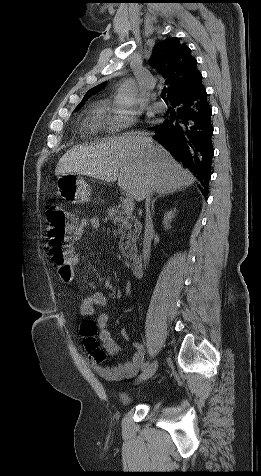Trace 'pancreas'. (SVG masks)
Instances as JSON below:
<instances>
[{
  "label": "pancreas",
  "instance_id": "1",
  "mask_svg": "<svg viewBox=\"0 0 261 476\" xmlns=\"http://www.w3.org/2000/svg\"><path fill=\"white\" fill-rule=\"evenodd\" d=\"M106 212L112 223L118 226L119 248L122 255L130 257L133 251L136 250V241L142 229L140 221L132 213H126L119 207H109Z\"/></svg>",
  "mask_w": 261,
  "mask_h": 476
}]
</instances>
